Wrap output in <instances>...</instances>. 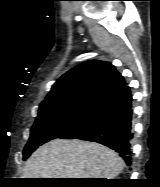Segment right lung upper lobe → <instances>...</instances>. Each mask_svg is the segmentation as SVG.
<instances>
[{
    "label": "right lung upper lobe",
    "instance_id": "obj_1",
    "mask_svg": "<svg viewBox=\"0 0 160 187\" xmlns=\"http://www.w3.org/2000/svg\"><path fill=\"white\" fill-rule=\"evenodd\" d=\"M125 85L124 78L111 63L89 60L62 75L52 86L40 108L76 101L97 103Z\"/></svg>",
    "mask_w": 160,
    "mask_h": 187
}]
</instances>
